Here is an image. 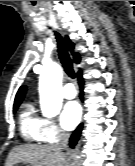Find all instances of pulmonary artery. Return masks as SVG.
<instances>
[{
    "label": "pulmonary artery",
    "instance_id": "pulmonary-artery-1",
    "mask_svg": "<svg viewBox=\"0 0 135 166\" xmlns=\"http://www.w3.org/2000/svg\"><path fill=\"white\" fill-rule=\"evenodd\" d=\"M62 95L66 99H72L76 96V89L71 83H65L62 90Z\"/></svg>",
    "mask_w": 135,
    "mask_h": 166
}]
</instances>
